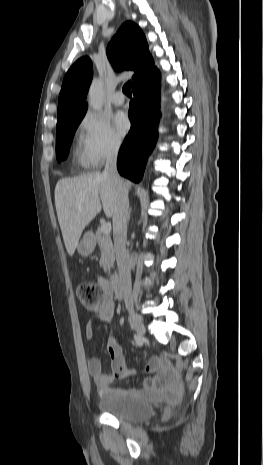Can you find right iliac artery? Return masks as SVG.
I'll return each instance as SVG.
<instances>
[{
  "instance_id": "obj_1",
  "label": "right iliac artery",
  "mask_w": 263,
  "mask_h": 465,
  "mask_svg": "<svg viewBox=\"0 0 263 465\" xmlns=\"http://www.w3.org/2000/svg\"><path fill=\"white\" fill-rule=\"evenodd\" d=\"M134 340L138 346H142L143 344V339L137 334H134Z\"/></svg>"
}]
</instances>
